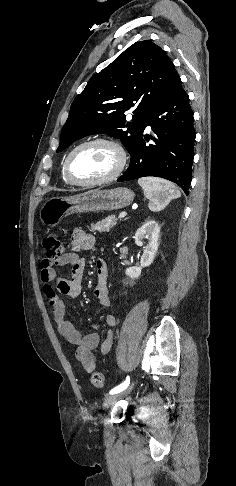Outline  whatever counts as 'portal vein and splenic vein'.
<instances>
[{
  "mask_svg": "<svg viewBox=\"0 0 236 486\" xmlns=\"http://www.w3.org/2000/svg\"><path fill=\"white\" fill-rule=\"evenodd\" d=\"M126 215H127V213H126V212H122V213H120V214H119V217H118V218H119V219H122V218H124Z\"/></svg>",
  "mask_w": 236,
  "mask_h": 486,
  "instance_id": "1",
  "label": "portal vein and splenic vein"
}]
</instances>
